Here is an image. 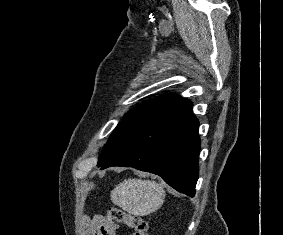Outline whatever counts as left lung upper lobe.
Here are the masks:
<instances>
[{
  "label": "left lung upper lobe",
  "instance_id": "obj_1",
  "mask_svg": "<svg viewBox=\"0 0 283 235\" xmlns=\"http://www.w3.org/2000/svg\"><path fill=\"white\" fill-rule=\"evenodd\" d=\"M181 100L178 96L166 95L145 102L129 111L117 125L115 132L112 133L107 145H105L98 166L104 163L115 149L150 119Z\"/></svg>",
  "mask_w": 283,
  "mask_h": 235
}]
</instances>
